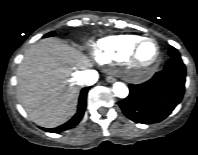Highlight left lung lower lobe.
<instances>
[{
    "mask_svg": "<svg viewBox=\"0 0 198 155\" xmlns=\"http://www.w3.org/2000/svg\"><path fill=\"white\" fill-rule=\"evenodd\" d=\"M186 70L181 58H171L163 71L149 81L130 85L129 96L119 105L132 121L142 124L165 119L180 103L184 94Z\"/></svg>",
    "mask_w": 198,
    "mask_h": 155,
    "instance_id": "0a47b994",
    "label": "left lung lower lobe"
}]
</instances>
